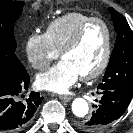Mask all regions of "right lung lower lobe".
Wrapping results in <instances>:
<instances>
[{"label":"right lung lower lobe","mask_w":133,"mask_h":133,"mask_svg":"<svg viewBox=\"0 0 133 133\" xmlns=\"http://www.w3.org/2000/svg\"><path fill=\"white\" fill-rule=\"evenodd\" d=\"M29 81L22 63L17 71L0 78V130H19L36 112L43 97L38 92H31L24 98Z\"/></svg>","instance_id":"right-lung-lower-lobe-1"}]
</instances>
